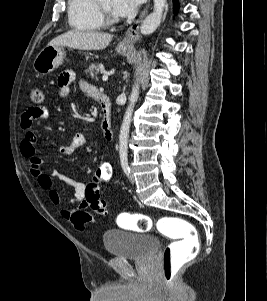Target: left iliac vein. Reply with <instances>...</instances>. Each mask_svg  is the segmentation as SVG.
Wrapping results in <instances>:
<instances>
[{
    "instance_id": "4c4485c4",
    "label": "left iliac vein",
    "mask_w": 267,
    "mask_h": 301,
    "mask_svg": "<svg viewBox=\"0 0 267 301\" xmlns=\"http://www.w3.org/2000/svg\"><path fill=\"white\" fill-rule=\"evenodd\" d=\"M128 180H129L130 183H134L135 182V178H134V175H133L132 172L128 175Z\"/></svg>"
}]
</instances>
